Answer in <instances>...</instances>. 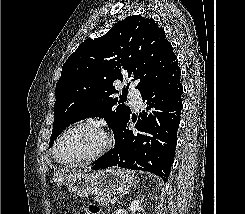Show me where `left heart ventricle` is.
<instances>
[{"mask_svg":"<svg viewBox=\"0 0 245 214\" xmlns=\"http://www.w3.org/2000/svg\"><path fill=\"white\" fill-rule=\"evenodd\" d=\"M101 143L102 138L97 131L78 128L62 138L57 147V157L61 160L85 157L96 151Z\"/></svg>","mask_w":245,"mask_h":214,"instance_id":"b2bd125f","label":"left heart ventricle"}]
</instances>
